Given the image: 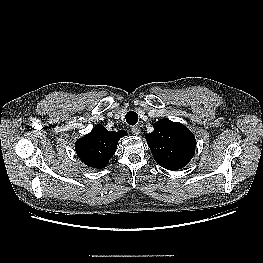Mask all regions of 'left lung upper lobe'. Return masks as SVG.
I'll use <instances>...</instances> for the list:
<instances>
[{"instance_id":"left-lung-upper-lobe-1","label":"left lung upper lobe","mask_w":263,"mask_h":263,"mask_svg":"<svg viewBox=\"0 0 263 263\" xmlns=\"http://www.w3.org/2000/svg\"><path fill=\"white\" fill-rule=\"evenodd\" d=\"M146 140L156 162L168 170L183 168L195 153L194 135L184 125L169 119L157 121Z\"/></svg>"}]
</instances>
